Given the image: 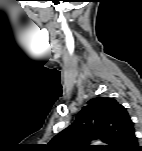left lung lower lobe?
I'll list each match as a JSON object with an SVG mask.
<instances>
[{"label": "left lung lower lobe", "mask_w": 142, "mask_h": 151, "mask_svg": "<svg viewBox=\"0 0 142 151\" xmlns=\"http://www.w3.org/2000/svg\"><path fill=\"white\" fill-rule=\"evenodd\" d=\"M115 151H142V147L138 146L134 129L123 137Z\"/></svg>", "instance_id": "0a47b994"}]
</instances>
